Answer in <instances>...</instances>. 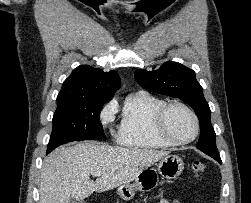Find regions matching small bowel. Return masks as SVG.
I'll use <instances>...</instances> for the list:
<instances>
[{
	"label": "small bowel",
	"mask_w": 251,
	"mask_h": 203,
	"mask_svg": "<svg viewBox=\"0 0 251 203\" xmlns=\"http://www.w3.org/2000/svg\"><path fill=\"white\" fill-rule=\"evenodd\" d=\"M159 203H180L178 200H167V199H161Z\"/></svg>",
	"instance_id": "c3829d8e"
}]
</instances>
